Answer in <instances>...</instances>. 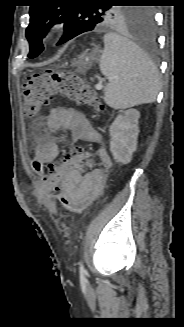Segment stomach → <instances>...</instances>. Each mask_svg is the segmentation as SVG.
I'll return each mask as SVG.
<instances>
[{
    "label": "stomach",
    "instance_id": "stomach-1",
    "mask_svg": "<svg viewBox=\"0 0 184 327\" xmlns=\"http://www.w3.org/2000/svg\"><path fill=\"white\" fill-rule=\"evenodd\" d=\"M94 59L93 53H84L78 60L77 66L80 70H86L91 66L92 60Z\"/></svg>",
    "mask_w": 184,
    "mask_h": 327
}]
</instances>
